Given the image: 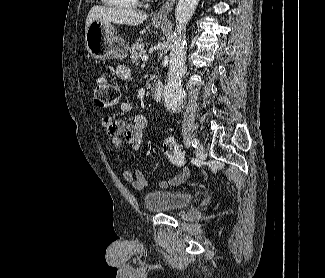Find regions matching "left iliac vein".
<instances>
[{
	"instance_id": "obj_1",
	"label": "left iliac vein",
	"mask_w": 325,
	"mask_h": 278,
	"mask_svg": "<svg viewBox=\"0 0 325 278\" xmlns=\"http://www.w3.org/2000/svg\"><path fill=\"white\" fill-rule=\"evenodd\" d=\"M196 157L199 160H203L205 158V150L204 147L198 143L196 150H195Z\"/></svg>"
}]
</instances>
